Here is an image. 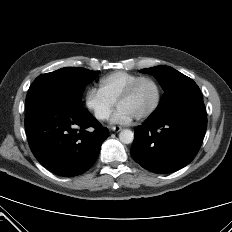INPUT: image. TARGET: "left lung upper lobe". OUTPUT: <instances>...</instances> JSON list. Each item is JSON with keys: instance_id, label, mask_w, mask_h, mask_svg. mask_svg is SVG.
<instances>
[{"instance_id": "1", "label": "left lung upper lobe", "mask_w": 232, "mask_h": 232, "mask_svg": "<svg viewBox=\"0 0 232 232\" xmlns=\"http://www.w3.org/2000/svg\"><path fill=\"white\" fill-rule=\"evenodd\" d=\"M140 72L155 76L165 92L155 115L162 114L169 107L187 98L201 94L199 87L191 78L169 66L160 65Z\"/></svg>"}]
</instances>
